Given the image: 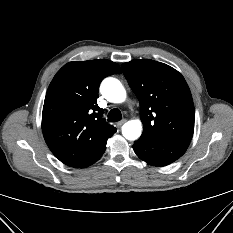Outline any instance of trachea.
<instances>
[{"label":"trachea","instance_id":"trachea-1","mask_svg":"<svg viewBox=\"0 0 233 233\" xmlns=\"http://www.w3.org/2000/svg\"><path fill=\"white\" fill-rule=\"evenodd\" d=\"M122 119V114L119 109H112L108 114V121L109 122H117Z\"/></svg>","mask_w":233,"mask_h":233}]
</instances>
